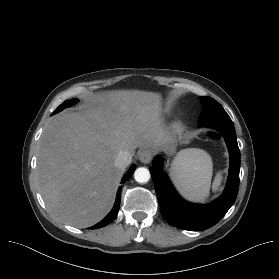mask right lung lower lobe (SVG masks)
Here are the masks:
<instances>
[{
  "instance_id": "98d812e1",
  "label": "right lung lower lobe",
  "mask_w": 279,
  "mask_h": 279,
  "mask_svg": "<svg viewBox=\"0 0 279 279\" xmlns=\"http://www.w3.org/2000/svg\"><path fill=\"white\" fill-rule=\"evenodd\" d=\"M135 169H136L135 165H132L130 167V169L128 170V173L126 175H124V177L122 178L121 183H124L127 180H129L130 177L132 176L133 172L135 171ZM121 188H122V186L117 191L115 205H114L113 209L111 210V212L101 222L92 226L91 229H97V228L104 227L107 224H109L110 222H112L114 220V218L117 216L119 207H120Z\"/></svg>"
}]
</instances>
